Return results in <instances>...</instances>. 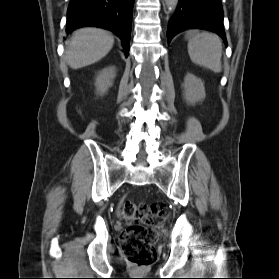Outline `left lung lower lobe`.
Instances as JSON below:
<instances>
[{
	"label": "left lung lower lobe",
	"mask_w": 279,
	"mask_h": 279,
	"mask_svg": "<svg viewBox=\"0 0 279 279\" xmlns=\"http://www.w3.org/2000/svg\"><path fill=\"white\" fill-rule=\"evenodd\" d=\"M221 0H179L167 30L168 42L178 33L189 29H206L217 33L226 43Z\"/></svg>",
	"instance_id": "1"
}]
</instances>
